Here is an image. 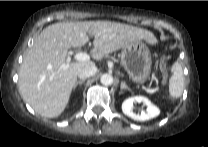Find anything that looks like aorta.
I'll return each instance as SVG.
<instances>
[{
    "instance_id": "aorta-1",
    "label": "aorta",
    "mask_w": 208,
    "mask_h": 147,
    "mask_svg": "<svg viewBox=\"0 0 208 147\" xmlns=\"http://www.w3.org/2000/svg\"><path fill=\"white\" fill-rule=\"evenodd\" d=\"M113 76L110 74H103L100 78V82L105 86H110L113 84Z\"/></svg>"
}]
</instances>
